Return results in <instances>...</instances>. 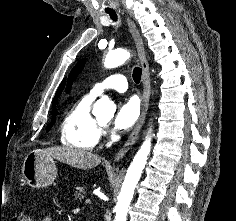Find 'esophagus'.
<instances>
[{
  "mask_svg": "<svg viewBox=\"0 0 236 221\" xmlns=\"http://www.w3.org/2000/svg\"><path fill=\"white\" fill-rule=\"evenodd\" d=\"M127 24L129 26L130 33L133 37V40L136 45L137 54L139 57V61L142 66V87H143V94H142V110L141 115L131 132V134L128 137V140L125 142L123 147L116 153L114 160L120 161L126 153L132 148V146L135 144L139 132L145 122V118L148 112L149 108V101H150V94H151V83H150V73H149V64L146 58L144 45L142 38L139 34V31L137 30L134 22H132L129 18H127Z\"/></svg>",
  "mask_w": 236,
  "mask_h": 221,
  "instance_id": "obj_1",
  "label": "esophagus"
}]
</instances>
